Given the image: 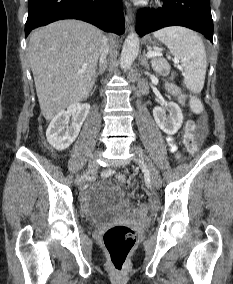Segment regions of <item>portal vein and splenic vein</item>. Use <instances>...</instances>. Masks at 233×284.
Wrapping results in <instances>:
<instances>
[{
	"mask_svg": "<svg viewBox=\"0 0 233 284\" xmlns=\"http://www.w3.org/2000/svg\"><path fill=\"white\" fill-rule=\"evenodd\" d=\"M156 56H162V53L159 51H148L147 58H153Z\"/></svg>",
	"mask_w": 233,
	"mask_h": 284,
	"instance_id": "1",
	"label": "portal vein and splenic vein"
}]
</instances>
